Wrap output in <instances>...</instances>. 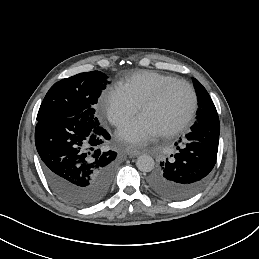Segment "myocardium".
Instances as JSON below:
<instances>
[{
	"mask_svg": "<svg viewBox=\"0 0 259 259\" xmlns=\"http://www.w3.org/2000/svg\"><path fill=\"white\" fill-rule=\"evenodd\" d=\"M175 83H181L189 89L191 94V104L186 115L174 127L165 132L160 133V136L165 138L173 137L179 132H181L193 119L198 106V96L194 86L185 79L173 77L161 83L158 86L156 92L151 97L144 100L140 105L139 115L145 109L156 105L162 99L165 92Z\"/></svg>",
	"mask_w": 259,
	"mask_h": 259,
	"instance_id": "1",
	"label": "myocardium"
}]
</instances>
